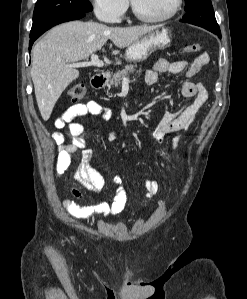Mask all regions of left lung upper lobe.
<instances>
[{
    "label": "left lung upper lobe",
    "mask_w": 247,
    "mask_h": 299,
    "mask_svg": "<svg viewBox=\"0 0 247 299\" xmlns=\"http://www.w3.org/2000/svg\"><path fill=\"white\" fill-rule=\"evenodd\" d=\"M186 14L181 19L184 23H200L215 30L217 24L211 0H185Z\"/></svg>",
    "instance_id": "5c2ea615"
}]
</instances>
